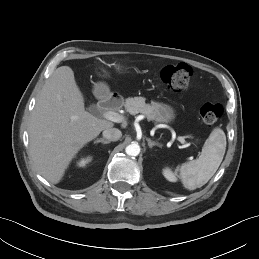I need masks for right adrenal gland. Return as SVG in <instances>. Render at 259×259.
<instances>
[{
    "mask_svg": "<svg viewBox=\"0 0 259 259\" xmlns=\"http://www.w3.org/2000/svg\"><path fill=\"white\" fill-rule=\"evenodd\" d=\"M94 143L109 144L110 141L105 140V139H103V138H100V139L95 140Z\"/></svg>",
    "mask_w": 259,
    "mask_h": 259,
    "instance_id": "obj_1",
    "label": "right adrenal gland"
}]
</instances>
